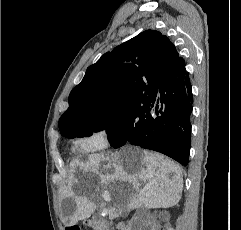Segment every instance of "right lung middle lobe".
<instances>
[{"instance_id":"1","label":"right lung middle lobe","mask_w":241,"mask_h":230,"mask_svg":"<svg viewBox=\"0 0 241 230\" xmlns=\"http://www.w3.org/2000/svg\"><path fill=\"white\" fill-rule=\"evenodd\" d=\"M134 108H118L112 110L106 117L87 122H81L61 133L68 138L90 136L93 132L106 130L111 146L118 147L132 133H137L148 123L147 105Z\"/></svg>"}]
</instances>
